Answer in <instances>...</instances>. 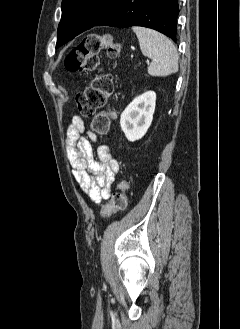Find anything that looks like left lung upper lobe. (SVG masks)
<instances>
[{
  "label": "left lung upper lobe",
  "mask_w": 240,
  "mask_h": 329,
  "mask_svg": "<svg viewBox=\"0 0 240 329\" xmlns=\"http://www.w3.org/2000/svg\"><path fill=\"white\" fill-rule=\"evenodd\" d=\"M119 0H63L56 48L95 26Z\"/></svg>",
  "instance_id": "5c2ea615"
}]
</instances>
